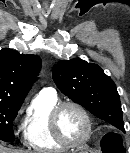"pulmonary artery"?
<instances>
[{"label":"pulmonary artery","instance_id":"e3ab8cb5","mask_svg":"<svg viewBox=\"0 0 130 153\" xmlns=\"http://www.w3.org/2000/svg\"><path fill=\"white\" fill-rule=\"evenodd\" d=\"M42 91H51V92H55L53 88H44Z\"/></svg>","mask_w":130,"mask_h":153}]
</instances>
